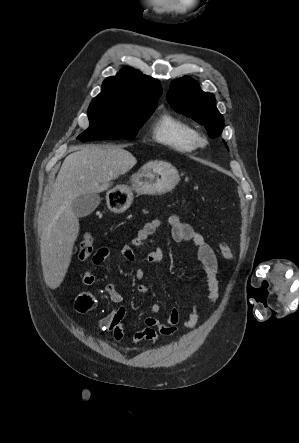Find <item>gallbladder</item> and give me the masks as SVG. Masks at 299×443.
<instances>
[{
	"instance_id": "gallbladder-1",
	"label": "gallbladder",
	"mask_w": 299,
	"mask_h": 443,
	"mask_svg": "<svg viewBox=\"0 0 299 443\" xmlns=\"http://www.w3.org/2000/svg\"><path fill=\"white\" fill-rule=\"evenodd\" d=\"M101 198L97 193H87L76 197L72 202V210L76 217L90 215L100 204Z\"/></svg>"
}]
</instances>
